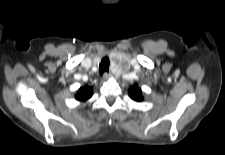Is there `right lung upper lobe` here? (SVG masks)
I'll use <instances>...</instances> for the list:
<instances>
[{"label":"right lung upper lobe","mask_w":225,"mask_h":155,"mask_svg":"<svg viewBox=\"0 0 225 155\" xmlns=\"http://www.w3.org/2000/svg\"><path fill=\"white\" fill-rule=\"evenodd\" d=\"M93 94L92 88L90 86L81 87L75 96L78 101L86 102Z\"/></svg>","instance_id":"right-lung-upper-lobe-1"}]
</instances>
